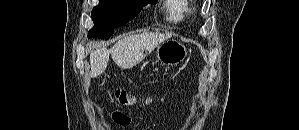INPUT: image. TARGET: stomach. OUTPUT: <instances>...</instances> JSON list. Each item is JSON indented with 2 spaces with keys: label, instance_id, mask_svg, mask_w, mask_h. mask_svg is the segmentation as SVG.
Here are the masks:
<instances>
[{
  "label": "stomach",
  "instance_id": "0dacf381",
  "mask_svg": "<svg viewBox=\"0 0 299 130\" xmlns=\"http://www.w3.org/2000/svg\"><path fill=\"white\" fill-rule=\"evenodd\" d=\"M155 54L162 64L177 65L186 58L188 52L181 42L169 39L158 45ZM146 63H149V61Z\"/></svg>",
  "mask_w": 299,
  "mask_h": 130
}]
</instances>
